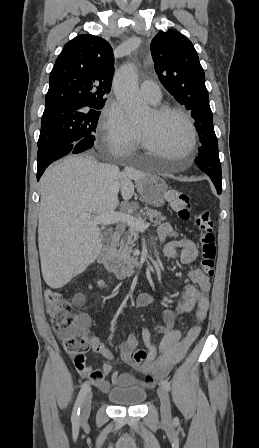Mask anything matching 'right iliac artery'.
Wrapping results in <instances>:
<instances>
[{"label": "right iliac artery", "mask_w": 259, "mask_h": 448, "mask_svg": "<svg viewBox=\"0 0 259 448\" xmlns=\"http://www.w3.org/2000/svg\"><path fill=\"white\" fill-rule=\"evenodd\" d=\"M88 390H89V383L85 382L81 387V390L78 394V397L76 399V402H75V405L73 408L71 420L74 424H78V422H79L80 407H81L83 399L85 398V395L87 394Z\"/></svg>", "instance_id": "82829eb1"}]
</instances>
